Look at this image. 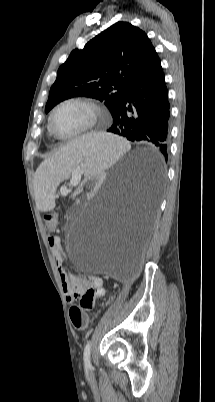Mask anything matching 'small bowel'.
<instances>
[{"instance_id": "c3829d8e", "label": "small bowel", "mask_w": 215, "mask_h": 402, "mask_svg": "<svg viewBox=\"0 0 215 402\" xmlns=\"http://www.w3.org/2000/svg\"><path fill=\"white\" fill-rule=\"evenodd\" d=\"M48 243L58 265L59 275L68 302L81 299L88 291H92L93 302L95 299L101 298L105 295L106 291L102 286L101 278L96 276L79 277L73 274H66L61 267L64 250L61 239L58 235H49Z\"/></svg>"}]
</instances>
